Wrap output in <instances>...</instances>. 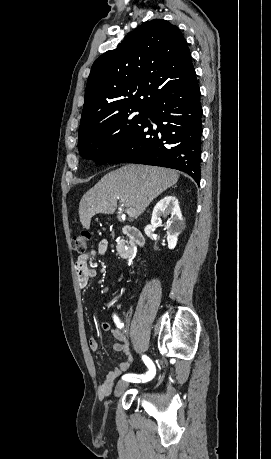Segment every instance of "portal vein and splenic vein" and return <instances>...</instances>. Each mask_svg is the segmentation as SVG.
<instances>
[{"mask_svg": "<svg viewBox=\"0 0 271 459\" xmlns=\"http://www.w3.org/2000/svg\"><path fill=\"white\" fill-rule=\"evenodd\" d=\"M127 214L129 218H135L136 216L134 208H129V210H127Z\"/></svg>", "mask_w": 271, "mask_h": 459, "instance_id": "portal-vein-and-splenic-vein-1", "label": "portal vein and splenic vein"}]
</instances>
